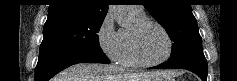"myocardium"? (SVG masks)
<instances>
[{
    "mask_svg": "<svg viewBox=\"0 0 237 81\" xmlns=\"http://www.w3.org/2000/svg\"><path fill=\"white\" fill-rule=\"evenodd\" d=\"M149 26L157 27L163 33V35L165 36V38L167 39V42H168V50H167L166 55L162 59L157 60V61H147V60L143 59L140 52H139V48H138L139 36ZM128 39H129V46H130L131 55H132L134 61L139 66L154 67V66L161 65V64L167 62L173 53L174 45H173V40H172L170 34L160 23H158L157 21H154V20L146 19L144 21L134 24L129 31Z\"/></svg>",
    "mask_w": 237,
    "mask_h": 81,
    "instance_id": "myocardium-1",
    "label": "myocardium"
}]
</instances>
